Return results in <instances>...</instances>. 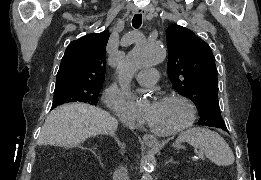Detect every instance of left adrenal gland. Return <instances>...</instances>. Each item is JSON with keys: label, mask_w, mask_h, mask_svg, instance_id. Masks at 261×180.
<instances>
[{"label": "left adrenal gland", "mask_w": 261, "mask_h": 180, "mask_svg": "<svg viewBox=\"0 0 261 180\" xmlns=\"http://www.w3.org/2000/svg\"><path fill=\"white\" fill-rule=\"evenodd\" d=\"M169 162H170V164H175L173 158H170V160H168V162H166V164H169Z\"/></svg>", "instance_id": "obj_1"}]
</instances>
